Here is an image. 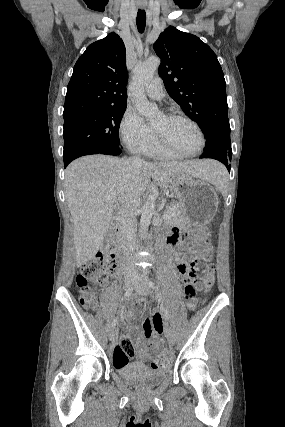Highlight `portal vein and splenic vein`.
Here are the masks:
<instances>
[{
	"instance_id": "obj_1",
	"label": "portal vein and splenic vein",
	"mask_w": 285,
	"mask_h": 427,
	"mask_svg": "<svg viewBox=\"0 0 285 427\" xmlns=\"http://www.w3.org/2000/svg\"><path fill=\"white\" fill-rule=\"evenodd\" d=\"M109 200H110V199H109ZM163 218H164V219H168V218H170V216H169L167 213H164V214H163Z\"/></svg>"
}]
</instances>
